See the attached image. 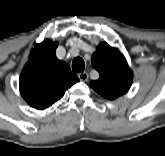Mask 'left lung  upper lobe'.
I'll return each mask as SVG.
<instances>
[{
    "mask_svg": "<svg viewBox=\"0 0 165 156\" xmlns=\"http://www.w3.org/2000/svg\"><path fill=\"white\" fill-rule=\"evenodd\" d=\"M92 66L100 77L91 87L101 96L113 100L125 94L132 84V72L118 49L102 42L92 55Z\"/></svg>",
    "mask_w": 165,
    "mask_h": 156,
    "instance_id": "1",
    "label": "left lung upper lobe"
}]
</instances>
